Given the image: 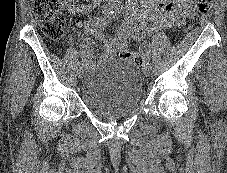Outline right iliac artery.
Instances as JSON below:
<instances>
[{
  "mask_svg": "<svg viewBox=\"0 0 227 173\" xmlns=\"http://www.w3.org/2000/svg\"><path fill=\"white\" fill-rule=\"evenodd\" d=\"M115 14H116L115 11H113V10H110V11H109V10H108L106 15H107L108 18H110L111 15H115ZM104 20H105L104 18L101 19V21H104ZM79 65H80V66H83V65H84V61H80V62H79Z\"/></svg>",
  "mask_w": 227,
  "mask_h": 173,
  "instance_id": "right-iliac-artery-1",
  "label": "right iliac artery"
}]
</instances>
